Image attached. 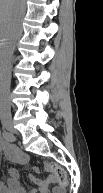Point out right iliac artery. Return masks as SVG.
Returning <instances> with one entry per match:
<instances>
[{"label": "right iliac artery", "instance_id": "obj_1", "mask_svg": "<svg viewBox=\"0 0 103 193\" xmlns=\"http://www.w3.org/2000/svg\"><path fill=\"white\" fill-rule=\"evenodd\" d=\"M3 137L7 140V141H10V142H13L15 140V137L13 136L12 133H9L7 131H4L3 132Z\"/></svg>", "mask_w": 103, "mask_h": 193}]
</instances>
